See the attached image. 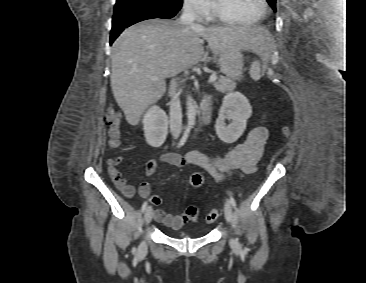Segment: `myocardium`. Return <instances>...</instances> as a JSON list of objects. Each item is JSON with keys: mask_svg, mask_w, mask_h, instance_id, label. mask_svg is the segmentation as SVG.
<instances>
[{"mask_svg": "<svg viewBox=\"0 0 366 283\" xmlns=\"http://www.w3.org/2000/svg\"><path fill=\"white\" fill-rule=\"evenodd\" d=\"M263 5V11L261 15L254 20L251 21H242L234 16H232L219 2V0H213V11L215 16L227 23L235 24V25H241V26H249L254 25L260 21H262L268 14V3L267 0H261Z\"/></svg>", "mask_w": 366, "mask_h": 283, "instance_id": "f54148a6", "label": "myocardium"}]
</instances>
